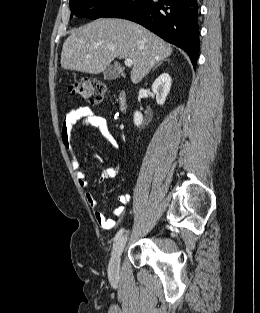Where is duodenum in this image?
<instances>
[{"label": "duodenum", "instance_id": "duodenum-1", "mask_svg": "<svg viewBox=\"0 0 260 313\" xmlns=\"http://www.w3.org/2000/svg\"><path fill=\"white\" fill-rule=\"evenodd\" d=\"M118 106L120 111L124 112L128 107V99L125 91H121L118 95Z\"/></svg>", "mask_w": 260, "mask_h": 313}]
</instances>
